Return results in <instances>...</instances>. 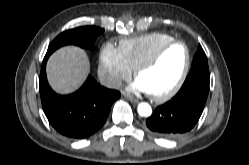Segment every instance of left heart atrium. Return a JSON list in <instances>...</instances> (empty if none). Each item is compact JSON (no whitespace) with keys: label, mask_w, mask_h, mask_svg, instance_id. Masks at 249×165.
<instances>
[{"label":"left heart atrium","mask_w":249,"mask_h":165,"mask_svg":"<svg viewBox=\"0 0 249 165\" xmlns=\"http://www.w3.org/2000/svg\"><path fill=\"white\" fill-rule=\"evenodd\" d=\"M128 90L133 92L149 93L147 88L138 79H136L133 83L130 84Z\"/></svg>","instance_id":"1"}]
</instances>
